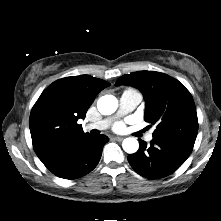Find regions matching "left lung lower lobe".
Wrapping results in <instances>:
<instances>
[{"mask_svg": "<svg viewBox=\"0 0 221 221\" xmlns=\"http://www.w3.org/2000/svg\"><path fill=\"white\" fill-rule=\"evenodd\" d=\"M139 150L128 156L131 167L140 175L158 179L176 171L189 157L194 144L171 137H153L150 146L139 139Z\"/></svg>", "mask_w": 221, "mask_h": 221, "instance_id": "obj_1", "label": "left lung lower lobe"}]
</instances>
